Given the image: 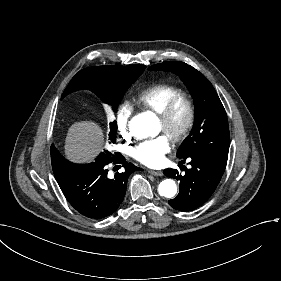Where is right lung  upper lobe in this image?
Masks as SVG:
<instances>
[{
    "label": "right lung upper lobe",
    "mask_w": 281,
    "mask_h": 281,
    "mask_svg": "<svg viewBox=\"0 0 281 281\" xmlns=\"http://www.w3.org/2000/svg\"><path fill=\"white\" fill-rule=\"evenodd\" d=\"M144 69L145 66L139 64L85 68L72 78L62 94V98L77 90L88 89L95 93L130 86Z\"/></svg>",
    "instance_id": "right-lung-upper-lobe-1"
}]
</instances>
